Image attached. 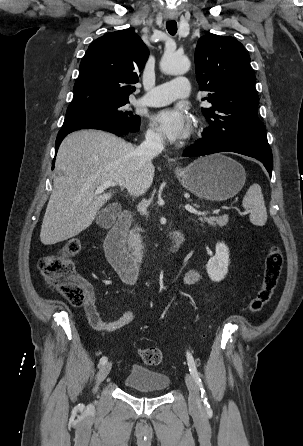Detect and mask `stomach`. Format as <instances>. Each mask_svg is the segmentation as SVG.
<instances>
[{
    "instance_id": "stomach-1",
    "label": "stomach",
    "mask_w": 303,
    "mask_h": 446,
    "mask_svg": "<svg viewBox=\"0 0 303 446\" xmlns=\"http://www.w3.org/2000/svg\"><path fill=\"white\" fill-rule=\"evenodd\" d=\"M175 174L183 187L210 201L234 197L244 186L246 172L237 161L222 154L200 157Z\"/></svg>"
}]
</instances>
